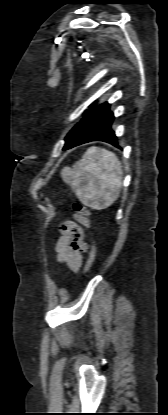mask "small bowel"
I'll use <instances>...</instances> for the list:
<instances>
[{
	"mask_svg": "<svg viewBox=\"0 0 168 415\" xmlns=\"http://www.w3.org/2000/svg\"><path fill=\"white\" fill-rule=\"evenodd\" d=\"M77 220L84 226H89V220L83 215H77ZM63 235L58 239L55 252L57 260L77 271L83 264V252L88 250V244L83 239L82 229L74 223L61 225Z\"/></svg>",
	"mask_w": 168,
	"mask_h": 415,
	"instance_id": "small-bowel-1",
	"label": "small bowel"
}]
</instances>
